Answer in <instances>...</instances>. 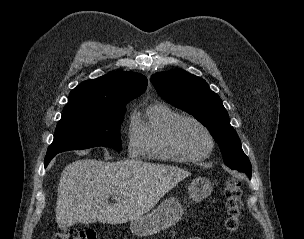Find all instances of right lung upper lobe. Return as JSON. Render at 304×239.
<instances>
[{"label":"right lung upper lobe","mask_w":304,"mask_h":239,"mask_svg":"<svg viewBox=\"0 0 304 239\" xmlns=\"http://www.w3.org/2000/svg\"><path fill=\"white\" fill-rule=\"evenodd\" d=\"M147 87L145 76L136 72H109L87 80L73 89L63 113L79 110L115 109L141 95Z\"/></svg>","instance_id":"right-lung-upper-lobe-1"}]
</instances>
